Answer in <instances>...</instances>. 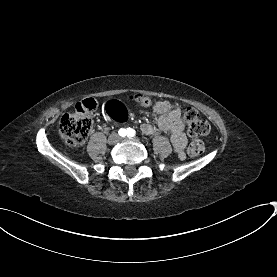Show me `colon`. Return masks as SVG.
Listing matches in <instances>:
<instances>
[{
    "label": "colon",
    "mask_w": 277,
    "mask_h": 277,
    "mask_svg": "<svg viewBox=\"0 0 277 277\" xmlns=\"http://www.w3.org/2000/svg\"><path fill=\"white\" fill-rule=\"evenodd\" d=\"M126 99L138 107H148L151 99L145 95H128ZM97 109L95 97L90 95L82 100L80 107L74 111L65 113L59 124V131L65 142L69 146L81 144L87 137L91 126L94 113ZM111 116V114H108ZM185 124L192 141L188 146V153L191 156H198L205 150V143L200 139L210 132L209 123L200 117L199 112L193 108H185L183 111ZM116 119L118 117H115Z\"/></svg>",
    "instance_id": "1"
}]
</instances>
